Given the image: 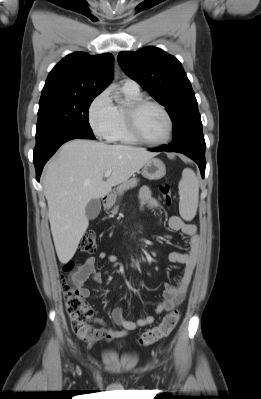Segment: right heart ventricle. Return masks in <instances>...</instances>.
Wrapping results in <instances>:
<instances>
[{
  "mask_svg": "<svg viewBox=\"0 0 261 399\" xmlns=\"http://www.w3.org/2000/svg\"><path fill=\"white\" fill-rule=\"evenodd\" d=\"M123 91L130 102L141 99L140 92H129L125 90ZM115 109H116V123L111 140L120 141L123 143H135L136 141L129 135L126 128L125 117H124L125 108L119 106L115 107Z\"/></svg>",
  "mask_w": 261,
  "mask_h": 399,
  "instance_id": "e07e8e85",
  "label": "right heart ventricle"
}]
</instances>
